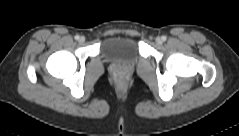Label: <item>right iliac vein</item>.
Here are the masks:
<instances>
[{
  "instance_id": "right-iliac-vein-1",
  "label": "right iliac vein",
  "mask_w": 239,
  "mask_h": 136,
  "mask_svg": "<svg viewBox=\"0 0 239 136\" xmlns=\"http://www.w3.org/2000/svg\"><path fill=\"white\" fill-rule=\"evenodd\" d=\"M79 42H80V43H84V42H85V37H84V36H81V37L79 38Z\"/></svg>"
}]
</instances>
